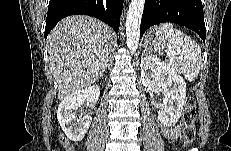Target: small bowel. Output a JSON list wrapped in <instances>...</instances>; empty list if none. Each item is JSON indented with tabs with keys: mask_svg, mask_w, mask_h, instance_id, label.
Returning a JSON list of instances; mask_svg holds the SVG:
<instances>
[{
	"mask_svg": "<svg viewBox=\"0 0 231 151\" xmlns=\"http://www.w3.org/2000/svg\"><path fill=\"white\" fill-rule=\"evenodd\" d=\"M162 132L167 139L174 140L178 138L180 134V129L178 127H173V128L163 127Z\"/></svg>",
	"mask_w": 231,
	"mask_h": 151,
	"instance_id": "c3829d8e",
	"label": "small bowel"
}]
</instances>
